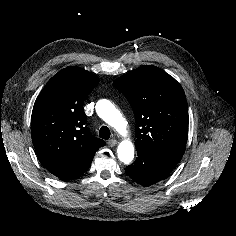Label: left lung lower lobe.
I'll use <instances>...</instances> for the list:
<instances>
[{"instance_id": "left-lung-lower-lobe-1", "label": "left lung lower lobe", "mask_w": 236, "mask_h": 236, "mask_svg": "<svg viewBox=\"0 0 236 236\" xmlns=\"http://www.w3.org/2000/svg\"><path fill=\"white\" fill-rule=\"evenodd\" d=\"M136 161L125 171L135 182L150 186L163 180L179 160L144 149H137Z\"/></svg>"}]
</instances>
